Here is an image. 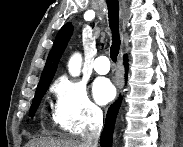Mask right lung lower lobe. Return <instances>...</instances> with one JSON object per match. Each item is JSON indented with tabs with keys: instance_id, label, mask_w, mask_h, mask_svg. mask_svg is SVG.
I'll return each mask as SVG.
<instances>
[{
	"instance_id": "right-lung-lower-lobe-1",
	"label": "right lung lower lobe",
	"mask_w": 183,
	"mask_h": 147,
	"mask_svg": "<svg viewBox=\"0 0 183 147\" xmlns=\"http://www.w3.org/2000/svg\"><path fill=\"white\" fill-rule=\"evenodd\" d=\"M124 66H125V78L127 79V73H128V62L127 57L124 56ZM122 98L119 97L118 100L112 104L107 112L105 125L103 132L100 137V143L102 147H111L112 146V136H113V130H114V124L116 120V116L121 104Z\"/></svg>"
}]
</instances>
